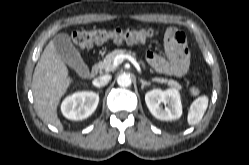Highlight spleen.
<instances>
[{"instance_id":"3e777b00","label":"spleen","mask_w":249,"mask_h":165,"mask_svg":"<svg viewBox=\"0 0 249 165\" xmlns=\"http://www.w3.org/2000/svg\"><path fill=\"white\" fill-rule=\"evenodd\" d=\"M208 106V97L201 96L198 97L193 103L190 105L187 121L189 125H196L198 124L207 109Z\"/></svg>"}]
</instances>
